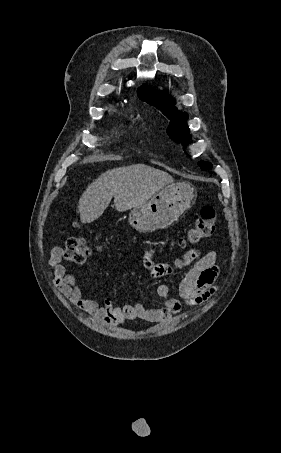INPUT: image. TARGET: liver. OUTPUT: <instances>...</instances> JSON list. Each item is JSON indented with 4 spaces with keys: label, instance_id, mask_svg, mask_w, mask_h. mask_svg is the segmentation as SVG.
Listing matches in <instances>:
<instances>
[{
    "label": "liver",
    "instance_id": "liver-1",
    "mask_svg": "<svg viewBox=\"0 0 281 453\" xmlns=\"http://www.w3.org/2000/svg\"><path fill=\"white\" fill-rule=\"evenodd\" d=\"M173 180L168 172L148 164H130L106 170L82 192L78 204L80 220L92 222L99 218L112 196L119 212L145 204L153 194Z\"/></svg>",
    "mask_w": 281,
    "mask_h": 453
}]
</instances>
